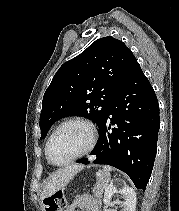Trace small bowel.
I'll return each instance as SVG.
<instances>
[{
  "instance_id": "obj_1",
  "label": "small bowel",
  "mask_w": 179,
  "mask_h": 211,
  "mask_svg": "<svg viewBox=\"0 0 179 211\" xmlns=\"http://www.w3.org/2000/svg\"><path fill=\"white\" fill-rule=\"evenodd\" d=\"M82 209L83 211H100V203L91 195L79 196L65 211H76Z\"/></svg>"
}]
</instances>
